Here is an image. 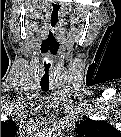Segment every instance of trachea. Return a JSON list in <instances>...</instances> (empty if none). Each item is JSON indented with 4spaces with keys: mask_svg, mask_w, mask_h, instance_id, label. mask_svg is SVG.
Returning <instances> with one entry per match:
<instances>
[{
    "mask_svg": "<svg viewBox=\"0 0 121 137\" xmlns=\"http://www.w3.org/2000/svg\"><path fill=\"white\" fill-rule=\"evenodd\" d=\"M61 10L59 4L54 5L51 11V16L49 20V31H48V41L52 43L55 40V35L60 25ZM51 61L44 60L41 65V80L40 86L42 91L46 92L49 89L50 78H51Z\"/></svg>",
    "mask_w": 121,
    "mask_h": 137,
    "instance_id": "trachea-1",
    "label": "trachea"
}]
</instances>
